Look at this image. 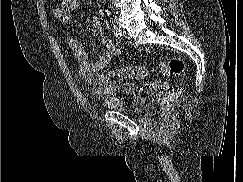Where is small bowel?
Listing matches in <instances>:
<instances>
[{"label": "small bowel", "mask_w": 243, "mask_h": 182, "mask_svg": "<svg viewBox=\"0 0 243 182\" xmlns=\"http://www.w3.org/2000/svg\"><path fill=\"white\" fill-rule=\"evenodd\" d=\"M80 0H62V7L53 11L54 18L64 24H70V12L76 10ZM91 32L94 36L99 37L104 46V50L97 54L94 60H90L86 50V45L79 42L74 37L67 38L73 55L79 62V73L85 81L95 87L98 95H109L115 91L110 79L102 73L110 60L119 53L118 45L109 37L102 34V23L97 16H94L91 22Z\"/></svg>", "instance_id": "c3829d8e"}]
</instances>
